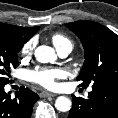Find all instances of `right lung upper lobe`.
Wrapping results in <instances>:
<instances>
[{
  "label": "right lung upper lobe",
  "instance_id": "obj_1",
  "mask_svg": "<svg viewBox=\"0 0 118 118\" xmlns=\"http://www.w3.org/2000/svg\"><path fill=\"white\" fill-rule=\"evenodd\" d=\"M40 27H19L10 24L0 23V31L11 33L13 35L29 40Z\"/></svg>",
  "mask_w": 118,
  "mask_h": 118
}]
</instances>
